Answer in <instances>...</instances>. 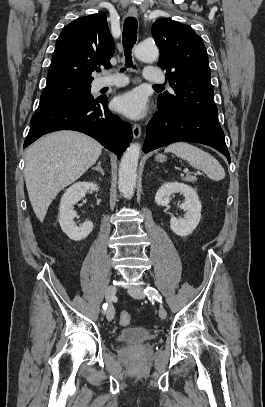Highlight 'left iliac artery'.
<instances>
[{"label": "left iliac artery", "mask_w": 265, "mask_h": 407, "mask_svg": "<svg viewBox=\"0 0 265 407\" xmlns=\"http://www.w3.org/2000/svg\"><path fill=\"white\" fill-rule=\"evenodd\" d=\"M144 293L150 298H155L157 301L162 302V297L159 292L153 287H147Z\"/></svg>", "instance_id": "44dca946"}]
</instances>
